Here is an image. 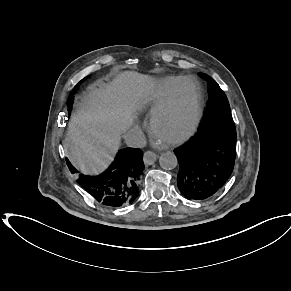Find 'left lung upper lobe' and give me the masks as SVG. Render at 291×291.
I'll return each instance as SVG.
<instances>
[{
	"label": "left lung upper lobe",
	"instance_id": "5c2ea615",
	"mask_svg": "<svg viewBox=\"0 0 291 291\" xmlns=\"http://www.w3.org/2000/svg\"><path fill=\"white\" fill-rule=\"evenodd\" d=\"M199 76L208 82L210 100L198 131L202 133L227 134L236 137V128L225 93L216 81L208 75L199 73Z\"/></svg>",
	"mask_w": 291,
	"mask_h": 291
}]
</instances>
